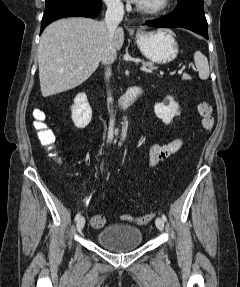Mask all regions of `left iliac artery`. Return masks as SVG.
Instances as JSON below:
<instances>
[{
	"mask_svg": "<svg viewBox=\"0 0 240 287\" xmlns=\"http://www.w3.org/2000/svg\"><path fill=\"white\" fill-rule=\"evenodd\" d=\"M162 219L164 220V221H167V217H166V215H162Z\"/></svg>",
	"mask_w": 240,
	"mask_h": 287,
	"instance_id": "obj_1",
	"label": "left iliac artery"
}]
</instances>
